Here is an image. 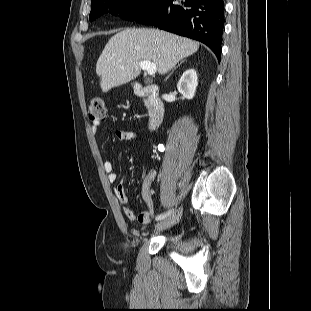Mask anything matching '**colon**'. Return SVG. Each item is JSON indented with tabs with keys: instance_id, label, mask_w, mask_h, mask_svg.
<instances>
[{
	"instance_id": "5ec220e1",
	"label": "colon",
	"mask_w": 311,
	"mask_h": 311,
	"mask_svg": "<svg viewBox=\"0 0 311 311\" xmlns=\"http://www.w3.org/2000/svg\"><path fill=\"white\" fill-rule=\"evenodd\" d=\"M106 116V108L102 99L93 98L88 106V117L93 122H100Z\"/></svg>"
}]
</instances>
